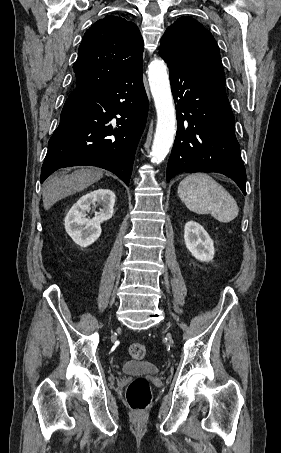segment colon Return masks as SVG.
Instances as JSON below:
<instances>
[{
	"label": "colon",
	"instance_id": "colon-1",
	"mask_svg": "<svg viewBox=\"0 0 281 453\" xmlns=\"http://www.w3.org/2000/svg\"><path fill=\"white\" fill-rule=\"evenodd\" d=\"M130 355L134 361H142L146 356V347L142 344L132 345ZM128 408L134 413H144L150 404V387L147 379L134 378L126 389Z\"/></svg>",
	"mask_w": 281,
	"mask_h": 453
}]
</instances>
